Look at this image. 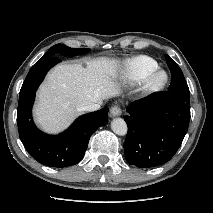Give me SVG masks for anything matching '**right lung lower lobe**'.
I'll list each match as a JSON object with an SVG mask.
<instances>
[{
  "mask_svg": "<svg viewBox=\"0 0 213 213\" xmlns=\"http://www.w3.org/2000/svg\"><path fill=\"white\" fill-rule=\"evenodd\" d=\"M58 62L60 59L54 56L32 66L20 90L17 123L20 139L28 153L41 164L62 168L82 160L92 133L108 122V108L79 117L58 136L37 129L32 119L35 92L47 71Z\"/></svg>",
  "mask_w": 213,
  "mask_h": 213,
  "instance_id": "right-lung-lower-lobe-1",
  "label": "right lung lower lobe"
}]
</instances>
